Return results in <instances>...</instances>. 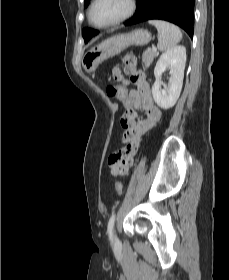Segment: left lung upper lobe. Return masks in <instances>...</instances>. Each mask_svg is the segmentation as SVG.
<instances>
[{
  "mask_svg": "<svg viewBox=\"0 0 229 280\" xmlns=\"http://www.w3.org/2000/svg\"><path fill=\"white\" fill-rule=\"evenodd\" d=\"M89 1L90 0H84L85 3H88ZM96 34H98V31H95V30L89 29V28H84L82 31V36H83L85 42H88L89 39Z\"/></svg>",
  "mask_w": 229,
  "mask_h": 280,
  "instance_id": "5c2ea615",
  "label": "left lung upper lobe"
}]
</instances>
